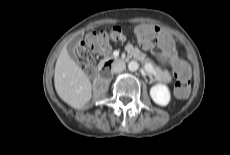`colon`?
<instances>
[{
	"label": "colon",
	"mask_w": 230,
	"mask_h": 155,
	"mask_svg": "<svg viewBox=\"0 0 230 155\" xmlns=\"http://www.w3.org/2000/svg\"><path fill=\"white\" fill-rule=\"evenodd\" d=\"M125 37L120 27H113L109 31L92 32L77 45L76 54L81 59L84 69L93 73L94 60L91 51L98 53L105 52L109 43H119L124 41ZM174 74L177 78L175 93L178 97H185L189 92V68L184 62L178 63L174 67Z\"/></svg>",
	"instance_id": "colon-1"
}]
</instances>
